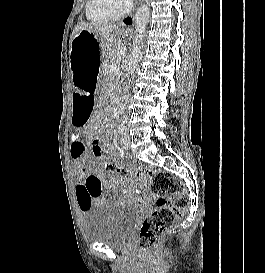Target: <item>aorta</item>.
<instances>
[{"mask_svg":"<svg viewBox=\"0 0 265 273\" xmlns=\"http://www.w3.org/2000/svg\"><path fill=\"white\" fill-rule=\"evenodd\" d=\"M150 16V9L148 5H142L138 8L135 17V38L133 41V47L130 54V58L128 61V65L126 68V76L129 77L135 72V69L137 68L139 57L141 54V46L140 43L145 36L146 27L148 24Z\"/></svg>","mask_w":265,"mask_h":273,"instance_id":"aorta-1","label":"aorta"}]
</instances>
